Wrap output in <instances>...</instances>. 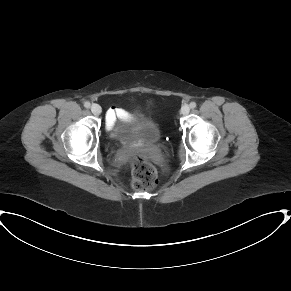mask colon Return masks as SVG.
<instances>
[{
	"instance_id": "5ec220e1",
	"label": "colon",
	"mask_w": 291,
	"mask_h": 291,
	"mask_svg": "<svg viewBox=\"0 0 291 291\" xmlns=\"http://www.w3.org/2000/svg\"><path fill=\"white\" fill-rule=\"evenodd\" d=\"M132 187L142 191L156 186L157 175L155 169L142 154L131 157Z\"/></svg>"
}]
</instances>
